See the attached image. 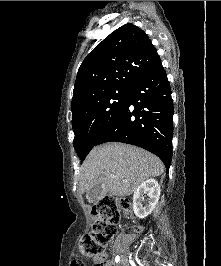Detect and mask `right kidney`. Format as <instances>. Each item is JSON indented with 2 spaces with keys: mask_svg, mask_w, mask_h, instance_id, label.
<instances>
[{
  "mask_svg": "<svg viewBox=\"0 0 221 266\" xmlns=\"http://www.w3.org/2000/svg\"><path fill=\"white\" fill-rule=\"evenodd\" d=\"M146 196H148L147 200H145ZM159 197L160 185L155 179H147L141 183L133 195V210L135 215L141 219L147 217L154 210Z\"/></svg>",
  "mask_w": 221,
  "mask_h": 266,
  "instance_id": "obj_1",
  "label": "right kidney"
}]
</instances>
